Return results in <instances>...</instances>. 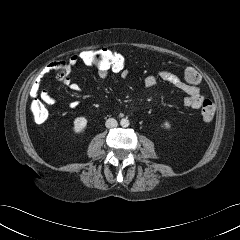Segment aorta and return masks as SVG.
I'll use <instances>...</instances> for the list:
<instances>
[{
	"label": "aorta",
	"instance_id": "762f6f07",
	"mask_svg": "<svg viewBox=\"0 0 240 240\" xmlns=\"http://www.w3.org/2000/svg\"><path fill=\"white\" fill-rule=\"evenodd\" d=\"M129 124H130V122H129V120H128L127 118H123V119H121V121H120V125H121V127H123V128L128 127Z\"/></svg>",
	"mask_w": 240,
	"mask_h": 240
}]
</instances>
